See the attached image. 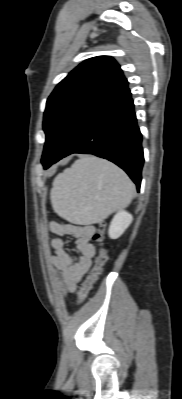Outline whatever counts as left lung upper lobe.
I'll return each mask as SVG.
<instances>
[{
    "label": "left lung upper lobe",
    "mask_w": 182,
    "mask_h": 399,
    "mask_svg": "<svg viewBox=\"0 0 182 399\" xmlns=\"http://www.w3.org/2000/svg\"><path fill=\"white\" fill-rule=\"evenodd\" d=\"M127 85L120 66L109 56L90 58L71 71L47 99L43 166L61 154L93 112Z\"/></svg>",
    "instance_id": "1"
}]
</instances>
